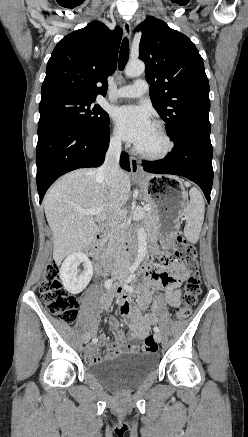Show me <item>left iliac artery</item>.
<instances>
[{
  "label": "left iliac artery",
  "mask_w": 248,
  "mask_h": 437,
  "mask_svg": "<svg viewBox=\"0 0 248 437\" xmlns=\"http://www.w3.org/2000/svg\"><path fill=\"white\" fill-rule=\"evenodd\" d=\"M135 277H136V275H135V274H132V275H130V276L127 278V280L125 281L124 289H125L126 291H128V292H133V287H132L129 283H131V282L135 279ZM153 330H154L155 332H159V327L155 326V327L153 328Z\"/></svg>",
  "instance_id": "left-iliac-artery-1"
}]
</instances>
